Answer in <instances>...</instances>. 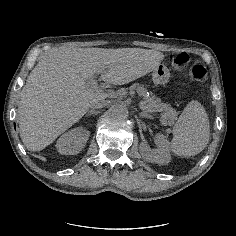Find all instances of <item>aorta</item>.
Segmentation results:
<instances>
[{"label":"aorta","mask_w":236,"mask_h":236,"mask_svg":"<svg viewBox=\"0 0 236 236\" xmlns=\"http://www.w3.org/2000/svg\"><path fill=\"white\" fill-rule=\"evenodd\" d=\"M112 116L117 119H126L128 117V108L122 104L112 106Z\"/></svg>","instance_id":"aorta-1"}]
</instances>
